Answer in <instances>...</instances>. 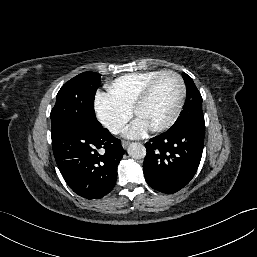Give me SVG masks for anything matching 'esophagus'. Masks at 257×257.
<instances>
[{
	"instance_id": "1",
	"label": "esophagus",
	"mask_w": 257,
	"mask_h": 257,
	"mask_svg": "<svg viewBox=\"0 0 257 257\" xmlns=\"http://www.w3.org/2000/svg\"><path fill=\"white\" fill-rule=\"evenodd\" d=\"M121 144H122V147H123L124 149H126V148H127V146L129 145V142H128V141L123 140Z\"/></svg>"
}]
</instances>
